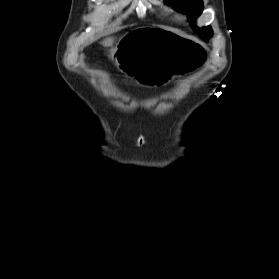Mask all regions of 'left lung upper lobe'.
I'll use <instances>...</instances> for the list:
<instances>
[{
	"instance_id": "left-lung-upper-lobe-1",
	"label": "left lung upper lobe",
	"mask_w": 279,
	"mask_h": 279,
	"mask_svg": "<svg viewBox=\"0 0 279 279\" xmlns=\"http://www.w3.org/2000/svg\"><path fill=\"white\" fill-rule=\"evenodd\" d=\"M168 5L172 6L176 10H182L188 13V18L190 21H193L194 18L199 16L203 10L202 0H167ZM191 26L196 30L199 36L208 40L212 35V30L209 26L204 28H195L193 22Z\"/></svg>"
}]
</instances>
